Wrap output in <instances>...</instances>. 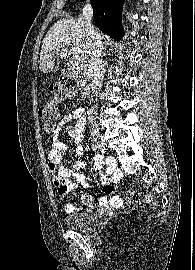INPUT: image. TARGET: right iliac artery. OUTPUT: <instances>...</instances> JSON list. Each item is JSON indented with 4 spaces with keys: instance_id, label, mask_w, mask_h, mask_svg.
I'll use <instances>...</instances> for the list:
<instances>
[{
    "instance_id": "82829eb1",
    "label": "right iliac artery",
    "mask_w": 195,
    "mask_h": 270,
    "mask_svg": "<svg viewBox=\"0 0 195 270\" xmlns=\"http://www.w3.org/2000/svg\"><path fill=\"white\" fill-rule=\"evenodd\" d=\"M92 149H93L94 151H96V150H97V146H96L95 144H93V145H92Z\"/></svg>"
}]
</instances>
